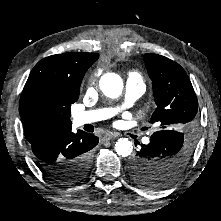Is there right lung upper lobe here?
I'll return each mask as SVG.
<instances>
[{
	"mask_svg": "<svg viewBox=\"0 0 221 221\" xmlns=\"http://www.w3.org/2000/svg\"><path fill=\"white\" fill-rule=\"evenodd\" d=\"M98 57V54L69 52L46 57L35 65L19 103V113L29 143L47 133L71 128L67 103L77 101L84 74ZM40 98L53 103L56 110L40 113L37 109Z\"/></svg>",
	"mask_w": 221,
	"mask_h": 221,
	"instance_id": "1",
	"label": "right lung upper lobe"
}]
</instances>
